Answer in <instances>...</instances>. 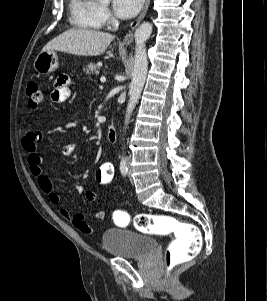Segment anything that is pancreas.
I'll return each mask as SVG.
<instances>
[{
	"label": "pancreas",
	"instance_id": "obj_1",
	"mask_svg": "<svg viewBox=\"0 0 267 301\" xmlns=\"http://www.w3.org/2000/svg\"><path fill=\"white\" fill-rule=\"evenodd\" d=\"M102 63H90L89 65L86 66L84 69L86 73L90 76L92 75H97L99 73L98 69L101 67Z\"/></svg>",
	"mask_w": 267,
	"mask_h": 301
}]
</instances>
